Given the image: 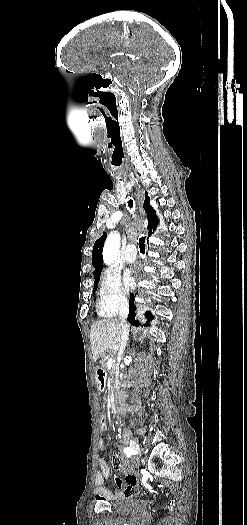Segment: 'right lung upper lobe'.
<instances>
[{
	"mask_svg": "<svg viewBox=\"0 0 247 525\" xmlns=\"http://www.w3.org/2000/svg\"><path fill=\"white\" fill-rule=\"evenodd\" d=\"M149 196L146 192L145 202H144V209L147 212V220H148V226L147 229L149 231V235L152 234V232L155 231L156 226L158 224V218L156 217L155 210L152 208V206L149 204ZM106 238V234L104 233L102 237L94 243L93 252H92V264L95 268L94 270V276H100L101 270H102V251H103V245Z\"/></svg>",
	"mask_w": 247,
	"mask_h": 525,
	"instance_id": "obj_1",
	"label": "right lung upper lobe"
}]
</instances>
